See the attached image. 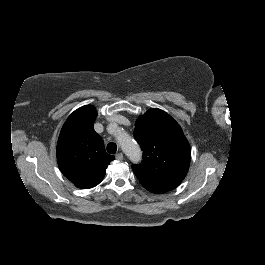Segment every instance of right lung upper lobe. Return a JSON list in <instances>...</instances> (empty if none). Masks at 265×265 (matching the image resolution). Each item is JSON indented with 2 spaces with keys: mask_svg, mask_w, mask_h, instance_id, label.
<instances>
[{
  "mask_svg": "<svg viewBox=\"0 0 265 265\" xmlns=\"http://www.w3.org/2000/svg\"><path fill=\"white\" fill-rule=\"evenodd\" d=\"M97 116L93 105L75 110L64 123L57 143V162L63 175L78 188H92L104 178L114 156L105 151L94 131Z\"/></svg>",
  "mask_w": 265,
  "mask_h": 265,
  "instance_id": "right-lung-upper-lobe-1",
  "label": "right lung upper lobe"
}]
</instances>
